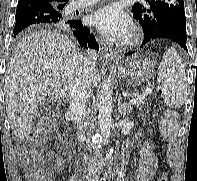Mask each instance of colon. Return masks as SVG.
<instances>
[{
	"label": "colon",
	"mask_w": 197,
	"mask_h": 181,
	"mask_svg": "<svg viewBox=\"0 0 197 181\" xmlns=\"http://www.w3.org/2000/svg\"><path fill=\"white\" fill-rule=\"evenodd\" d=\"M161 128L165 136H174L177 130V113L175 111H167L166 117L162 121ZM51 163L59 165L60 159L57 156H52ZM22 169L30 181H50L49 172L43 166L42 156L35 149H28L25 152L24 159L22 161ZM162 181H167V177L164 176Z\"/></svg>",
	"instance_id": "1"
}]
</instances>
